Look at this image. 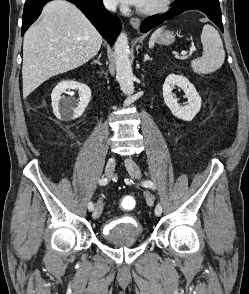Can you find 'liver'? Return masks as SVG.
I'll return each mask as SVG.
<instances>
[{"mask_svg":"<svg viewBox=\"0 0 249 294\" xmlns=\"http://www.w3.org/2000/svg\"><path fill=\"white\" fill-rule=\"evenodd\" d=\"M101 45V35L75 5L65 0L47 3L41 20L24 35L23 97L49 78L85 64Z\"/></svg>","mask_w":249,"mask_h":294,"instance_id":"6515ba94","label":"liver"}]
</instances>
